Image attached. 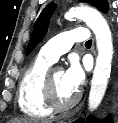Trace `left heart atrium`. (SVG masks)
<instances>
[{
    "label": "left heart atrium",
    "mask_w": 118,
    "mask_h": 123,
    "mask_svg": "<svg viewBox=\"0 0 118 123\" xmlns=\"http://www.w3.org/2000/svg\"><path fill=\"white\" fill-rule=\"evenodd\" d=\"M85 73L76 58H71L68 68L64 72V81L73 91H77L83 84Z\"/></svg>",
    "instance_id": "1"
}]
</instances>
